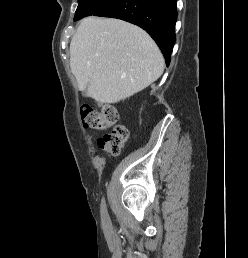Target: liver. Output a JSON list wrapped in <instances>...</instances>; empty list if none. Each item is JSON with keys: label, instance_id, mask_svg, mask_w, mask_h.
Listing matches in <instances>:
<instances>
[{"label": "liver", "instance_id": "obj_1", "mask_svg": "<svg viewBox=\"0 0 248 258\" xmlns=\"http://www.w3.org/2000/svg\"><path fill=\"white\" fill-rule=\"evenodd\" d=\"M70 67L79 90L100 103L114 104L156 81L164 71V59L141 28L91 16L72 37Z\"/></svg>", "mask_w": 248, "mask_h": 258}]
</instances>
